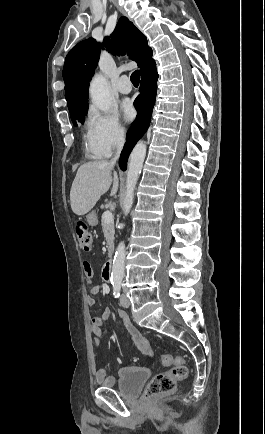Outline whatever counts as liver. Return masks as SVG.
I'll list each match as a JSON object with an SVG mask.
<instances>
[{"mask_svg": "<svg viewBox=\"0 0 265 434\" xmlns=\"http://www.w3.org/2000/svg\"><path fill=\"white\" fill-rule=\"evenodd\" d=\"M112 170H114V164L106 160L88 162L80 166L70 192L71 208L74 214L84 216L90 212L100 200V196L109 190L111 184L113 186L110 196H115L119 180L116 172L112 178Z\"/></svg>", "mask_w": 265, "mask_h": 434, "instance_id": "obj_1", "label": "liver"}]
</instances>
